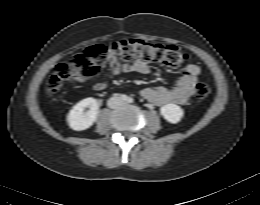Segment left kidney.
Wrapping results in <instances>:
<instances>
[{
	"label": "left kidney",
	"instance_id": "5707ae66",
	"mask_svg": "<svg viewBox=\"0 0 260 205\" xmlns=\"http://www.w3.org/2000/svg\"><path fill=\"white\" fill-rule=\"evenodd\" d=\"M160 113L165 120L172 124L178 123L183 115V109L175 104H166L160 108Z\"/></svg>",
	"mask_w": 260,
	"mask_h": 205
}]
</instances>
